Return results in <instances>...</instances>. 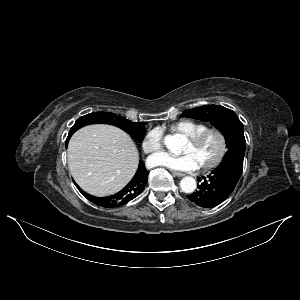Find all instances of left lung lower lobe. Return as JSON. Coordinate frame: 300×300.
I'll return each instance as SVG.
<instances>
[{"instance_id": "1", "label": "left lung lower lobe", "mask_w": 300, "mask_h": 300, "mask_svg": "<svg viewBox=\"0 0 300 300\" xmlns=\"http://www.w3.org/2000/svg\"><path fill=\"white\" fill-rule=\"evenodd\" d=\"M243 170V159L228 157L198 185V190L188 199L203 208H212L222 203L233 192ZM201 181V178L198 177Z\"/></svg>"}]
</instances>
